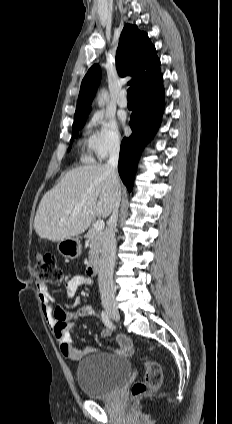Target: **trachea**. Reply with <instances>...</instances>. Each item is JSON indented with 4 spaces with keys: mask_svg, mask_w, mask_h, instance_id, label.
Returning <instances> with one entry per match:
<instances>
[{
    "mask_svg": "<svg viewBox=\"0 0 232 424\" xmlns=\"http://www.w3.org/2000/svg\"><path fill=\"white\" fill-rule=\"evenodd\" d=\"M134 92H135V87L132 86L127 90V98L128 100H134Z\"/></svg>",
    "mask_w": 232,
    "mask_h": 424,
    "instance_id": "trachea-1",
    "label": "trachea"
}]
</instances>
